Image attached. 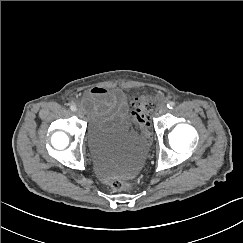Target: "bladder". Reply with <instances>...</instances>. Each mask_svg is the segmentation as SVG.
<instances>
[{"mask_svg":"<svg viewBox=\"0 0 243 243\" xmlns=\"http://www.w3.org/2000/svg\"><path fill=\"white\" fill-rule=\"evenodd\" d=\"M86 139L93 154L115 158L119 176L137 173L147 147L145 137L132 129L127 113L93 116Z\"/></svg>","mask_w":243,"mask_h":243,"instance_id":"1","label":"bladder"}]
</instances>
